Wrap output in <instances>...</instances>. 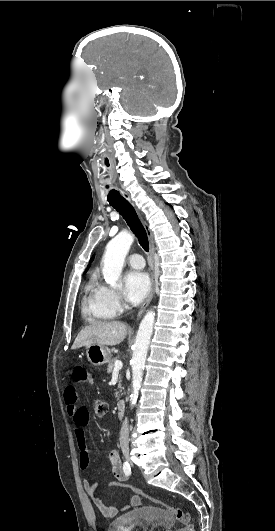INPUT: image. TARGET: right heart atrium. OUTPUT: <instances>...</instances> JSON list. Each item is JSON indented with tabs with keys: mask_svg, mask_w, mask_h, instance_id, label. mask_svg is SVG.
Returning <instances> with one entry per match:
<instances>
[{
	"mask_svg": "<svg viewBox=\"0 0 275 531\" xmlns=\"http://www.w3.org/2000/svg\"><path fill=\"white\" fill-rule=\"evenodd\" d=\"M100 290L101 304L104 309L111 317L120 316L127 308L122 294L105 285H100Z\"/></svg>",
	"mask_w": 275,
	"mask_h": 531,
	"instance_id": "d8ad5b80",
	"label": "right heart atrium"
}]
</instances>
